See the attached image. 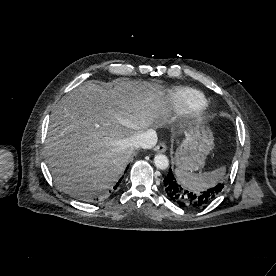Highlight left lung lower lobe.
<instances>
[{
    "label": "left lung lower lobe",
    "instance_id": "1",
    "mask_svg": "<svg viewBox=\"0 0 276 276\" xmlns=\"http://www.w3.org/2000/svg\"><path fill=\"white\" fill-rule=\"evenodd\" d=\"M224 184H218L213 188L202 191H190L184 185H181L176 179L171 169L164 178L163 188L166 194L180 206H190L199 208L209 204L222 190Z\"/></svg>",
    "mask_w": 276,
    "mask_h": 276
}]
</instances>
